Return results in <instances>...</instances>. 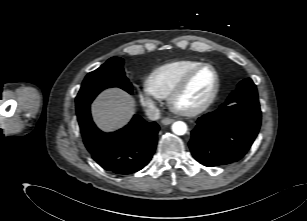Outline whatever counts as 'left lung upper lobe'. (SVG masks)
Returning a JSON list of instances; mask_svg holds the SVG:
<instances>
[{
    "instance_id": "1",
    "label": "left lung upper lobe",
    "mask_w": 307,
    "mask_h": 221,
    "mask_svg": "<svg viewBox=\"0 0 307 221\" xmlns=\"http://www.w3.org/2000/svg\"><path fill=\"white\" fill-rule=\"evenodd\" d=\"M233 93H240V94H255L257 93L256 86L251 79H244L242 80L237 89Z\"/></svg>"
}]
</instances>
